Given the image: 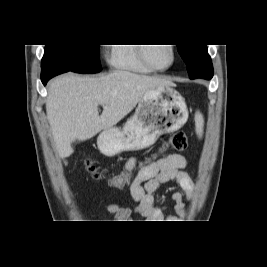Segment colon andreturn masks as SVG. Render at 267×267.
I'll return each mask as SVG.
<instances>
[{
    "label": "colon",
    "mask_w": 267,
    "mask_h": 267,
    "mask_svg": "<svg viewBox=\"0 0 267 267\" xmlns=\"http://www.w3.org/2000/svg\"><path fill=\"white\" fill-rule=\"evenodd\" d=\"M188 146L187 135L184 131H177L173 133L169 139L162 145L161 151L174 150V151H184ZM152 162L149 160L146 163ZM85 167L89 173L94 177H99V171L95 163L88 159L85 161ZM131 177H128V171H119L117 175H111V188H122V185H128L129 182H132Z\"/></svg>",
    "instance_id": "1"
}]
</instances>
